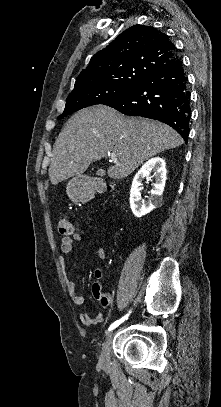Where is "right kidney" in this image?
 <instances>
[{
	"label": "right kidney",
	"mask_w": 221,
	"mask_h": 407,
	"mask_svg": "<svg viewBox=\"0 0 221 407\" xmlns=\"http://www.w3.org/2000/svg\"><path fill=\"white\" fill-rule=\"evenodd\" d=\"M164 159L160 157L148 160L136 173L130 190V207L136 217H142L162 204V194L166 181V167ZM154 172L153 189L148 200L141 199L142 180Z\"/></svg>",
	"instance_id": "ca27d5eb"
}]
</instances>
